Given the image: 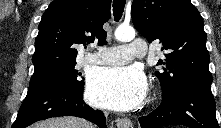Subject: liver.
Masks as SVG:
<instances>
[{"instance_id":"6515ba94","label":"liver","mask_w":221,"mask_h":128,"mask_svg":"<svg viewBox=\"0 0 221 128\" xmlns=\"http://www.w3.org/2000/svg\"><path fill=\"white\" fill-rule=\"evenodd\" d=\"M30 128H93V126L83 119L67 116L46 119Z\"/></svg>"}]
</instances>
